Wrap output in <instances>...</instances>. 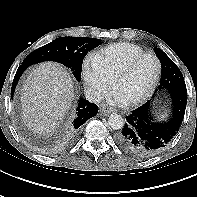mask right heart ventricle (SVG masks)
Returning <instances> with one entry per match:
<instances>
[{"mask_svg":"<svg viewBox=\"0 0 197 197\" xmlns=\"http://www.w3.org/2000/svg\"><path fill=\"white\" fill-rule=\"evenodd\" d=\"M146 53V51L132 43H117L105 47L91 57L94 66L102 70L106 75L115 78L117 73L134 57Z\"/></svg>","mask_w":197,"mask_h":197,"instance_id":"1","label":"right heart ventricle"}]
</instances>
